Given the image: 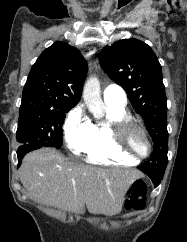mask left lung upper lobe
<instances>
[{
  "instance_id": "left-lung-upper-lobe-1",
  "label": "left lung upper lobe",
  "mask_w": 187,
  "mask_h": 242,
  "mask_svg": "<svg viewBox=\"0 0 187 242\" xmlns=\"http://www.w3.org/2000/svg\"><path fill=\"white\" fill-rule=\"evenodd\" d=\"M100 64L104 72L126 91L152 137L153 153L139 169L164 173L168 163L167 104L158 58L149 45L130 38L104 47Z\"/></svg>"
}]
</instances>
